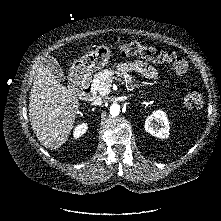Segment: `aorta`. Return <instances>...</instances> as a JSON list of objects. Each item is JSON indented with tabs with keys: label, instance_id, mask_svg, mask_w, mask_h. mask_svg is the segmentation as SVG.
I'll return each mask as SVG.
<instances>
[{
	"label": "aorta",
	"instance_id": "762f6f07",
	"mask_svg": "<svg viewBox=\"0 0 221 221\" xmlns=\"http://www.w3.org/2000/svg\"><path fill=\"white\" fill-rule=\"evenodd\" d=\"M120 112V106L116 103L110 106V113L112 116H117Z\"/></svg>",
	"mask_w": 221,
	"mask_h": 221
}]
</instances>
